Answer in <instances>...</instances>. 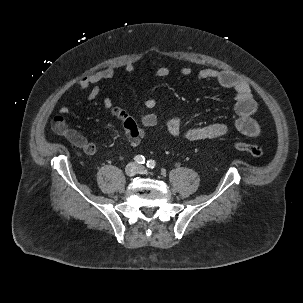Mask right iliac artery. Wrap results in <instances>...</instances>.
Listing matches in <instances>:
<instances>
[{
    "label": "right iliac artery",
    "mask_w": 303,
    "mask_h": 303,
    "mask_svg": "<svg viewBox=\"0 0 303 303\" xmlns=\"http://www.w3.org/2000/svg\"><path fill=\"white\" fill-rule=\"evenodd\" d=\"M134 161L138 164H144L145 163V158L142 155H137L134 157Z\"/></svg>",
    "instance_id": "obj_1"
}]
</instances>
